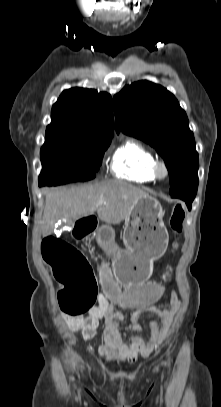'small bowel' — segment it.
<instances>
[{"instance_id": "small-bowel-1", "label": "small bowel", "mask_w": 221, "mask_h": 407, "mask_svg": "<svg viewBox=\"0 0 221 407\" xmlns=\"http://www.w3.org/2000/svg\"><path fill=\"white\" fill-rule=\"evenodd\" d=\"M117 304L120 305L119 303H113V300L110 301L106 294L100 293L97 297V304L89 311V316H67L66 321L73 332L81 333L85 340H91L96 336L99 320L104 319L106 326L103 331V344L99 347V353L107 358L133 361L139 355H149L154 347L166 339L179 308L180 300L176 292H172L168 307L154 309L159 320L149 321V336L145 335L140 324L141 316L145 311H136L129 320V328L135 334L126 339L122 337L120 332L124 316L115 310Z\"/></svg>"}]
</instances>
